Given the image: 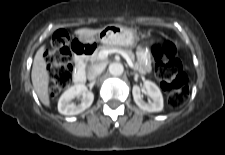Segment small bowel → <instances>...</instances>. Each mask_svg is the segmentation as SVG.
Here are the masks:
<instances>
[{
    "instance_id": "c3829d8e",
    "label": "small bowel",
    "mask_w": 225,
    "mask_h": 155,
    "mask_svg": "<svg viewBox=\"0 0 225 155\" xmlns=\"http://www.w3.org/2000/svg\"><path fill=\"white\" fill-rule=\"evenodd\" d=\"M138 67L142 72L150 70V58L145 48L140 47L137 51Z\"/></svg>"
}]
</instances>
